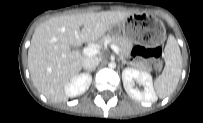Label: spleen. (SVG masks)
<instances>
[{
  "label": "spleen",
  "mask_w": 203,
  "mask_h": 123,
  "mask_svg": "<svg viewBox=\"0 0 203 123\" xmlns=\"http://www.w3.org/2000/svg\"><path fill=\"white\" fill-rule=\"evenodd\" d=\"M181 72L182 57L180 48L175 38L170 36L165 47L164 70L154 81L155 91L159 98H165L175 91Z\"/></svg>",
  "instance_id": "3e777b00"
}]
</instances>
